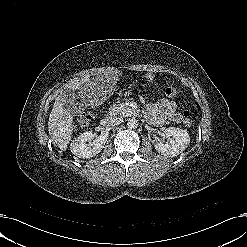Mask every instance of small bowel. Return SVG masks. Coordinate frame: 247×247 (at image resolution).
Instances as JSON below:
<instances>
[{"instance_id": "small-bowel-1", "label": "small bowel", "mask_w": 247, "mask_h": 247, "mask_svg": "<svg viewBox=\"0 0 247 247\" xmlns=\"http://www.w3.org/2000/svg\"><path fill=\"white\" fill-rule=\"evenodd\" d=\"M146 77L149 81H152L154 74L150 72ZM147 119L154 125H162L166 120L180 122L181 115L177 112L175 102L168 99H161L155 103L148 104Z\"/></svg>"}]
</instances>
